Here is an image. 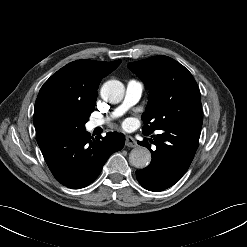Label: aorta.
<instances>
[{
  "mask_svg": "<svg viewBox=\"0 0 247 247\" xmlns=\"http://www.w3.org/2000/svg\"><path fill=\"white\" fill-rule=\"evenodd\" d=\"M100 93L103 100L116 104L123 99L125 88L120 81L109 80L103 84ZM129 161L132 166L143 169L149 165L151 153L147 148L139 146L131 150Z\"/></svg>",
  "mask_w": 247,
  "mask_h": 247,
  "instance_id": "1",
  "label": "aorta"
}]
</instances>
